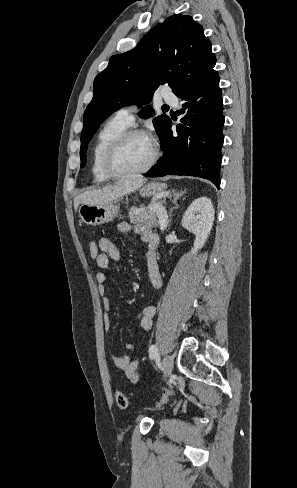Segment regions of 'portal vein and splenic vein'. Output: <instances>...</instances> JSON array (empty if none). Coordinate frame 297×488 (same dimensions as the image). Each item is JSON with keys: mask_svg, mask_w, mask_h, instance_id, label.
Returning <instances> with one entry per match:
<instances>
[{"mask_svg": "<svg viewBox=\"0 0 297 488\" xmlns=\"http://www.w3.org/2000/svg\"><path fill=\"white\" fill-rule=\"evenodd\" d=\"M155 210L157 211V214L159 216V224L161 227H163L165 225V214H164L165 210L163 205L157 204L155 206Z\"/></svg>", "mask_w": 297, "mask_h": 488, "instance_id": "1", "label": "portal vein and splenic vein"}]
</instances>
